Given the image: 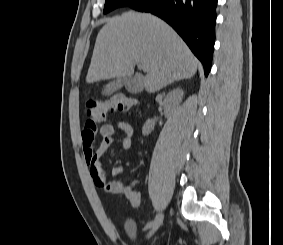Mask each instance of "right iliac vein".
<instances>
[{"label":"right iliac vein","instance_id":"63e3f726","mask_svg":"<svg viewBox=\"0 0 283 245\" xmlns=\"http://www.w3.org/2000/svg\"><path fill=\"white\" fill-rule=\"evenodd\" d=\"M163 217H164V215L162 213H160L156 216L152 226L150 227L149 232L146 235V238H150L156 232V230L159 228V226L161 225V223L163 221Z\"/></svg>","mask_w":283,"mask_h":245}]
</instances>
